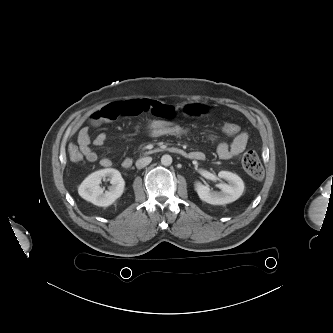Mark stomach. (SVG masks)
Segmentation results:
<instances>
[{
  "label": "stomach",
  "instance_id": "stomach-1",
  "mask_svg": "<svg viewBox=\"0 0 333 333\" xmlns=\"http://www.w3.org/2000/svg\"><path fill=\"white\" fill-rule=\"evenodd\" d=\"M219 114V106L215 102H192L178 104L174 115L178 119L215 118Z\"/></svg>",
  "mask_w": 333,
  "mask_h": 333
}]
</instances>
